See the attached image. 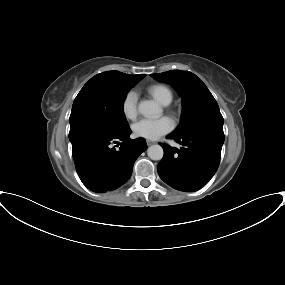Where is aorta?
<instances>
[{"label":"aorta","instance_id":"1","mask_svg":"<svg viewBox=\"0 0 285 285\" xmlns=\"http://www.w3.org/2000/svg\"><path fill=\"white\" fill-rule=\"evenodd\" d=\"M138 110L143 116L148 118L159 117L162 113L161 107L152 100L141 101ZM147 155L152 160H161L164 155L163 148L158 144L152 145L148 147Z\"/></svg>","mask_w":285,"mask_h":285}]
</instances>
